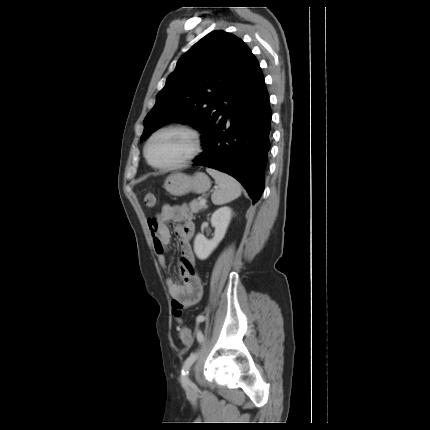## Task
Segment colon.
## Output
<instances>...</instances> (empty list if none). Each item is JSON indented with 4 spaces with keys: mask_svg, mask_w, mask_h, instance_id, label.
Segmentation results:
<instances>
[{
    "mask_svg": "<svg viewBox=\"0 0 430 430\" xmlns=\"http://www.w3.org/2000/svg\"><path fill=\"white\" fill-rule=\"evenodd\" d=\"M157 202V197L154 193H147L145 195V204L148 207H154ZM150 220V219H149ZM199 328H196V332ZM180 340L185 346H191L194 342V334L189 328H185L180 332Z\"/></svg>",
    "mask_w": 430,
    "mask_h": 430,
    "instance_id": "colon-1",
    "label": "colon"
}]
</instances>
